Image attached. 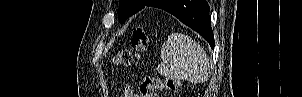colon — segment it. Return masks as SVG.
I'll list each match as a JSON object with an SVG mask.
<instances>
[{
    "label": "colon",
    "mask_w": 302,
    "mask_h": 97,
    "mask_svg": "<svg viewBox=\"0 0 302 97\" xmlns=\"http://www.w3.org/2000/svg\"><path fill=\"white\" fill-rule=\"evenodd\" d=\"M133 50H122L114 57V62L119 66H130L137 61L142 52L145 51L148 43V37L143 27H135L132 35ZM180 82L175 79L161 81L155 77H145L140 84V97H157L156 91L165 89L175 91L178 89Z\"/></svg>",
    "instance_id": "colon-1"
}]
</instances>
